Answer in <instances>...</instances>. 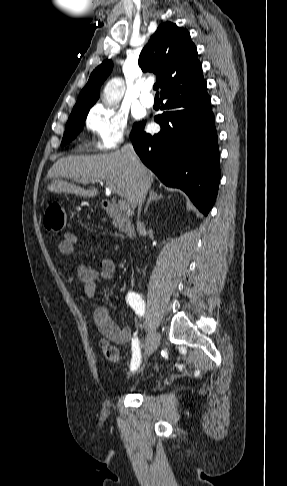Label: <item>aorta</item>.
I'll use <instances>...</instances> for the list:
<instances>
[{
	"mask_svg": "<svg viewBox=\"0 0 287 486\" xmlns=\"http://www.w3.org/2000/svg\"><path fill=\"white\" fill-rule=\"evenodd\" d=\"M124 83L120 79L111 80L104 89V101L108 106L116 105L123 97Z\"/></svg>",
	"mask_w": 287,
	"mask_h": 486,
	"instance_id": "762f6f07",
	"label": "aorta"
}]
</instances>
